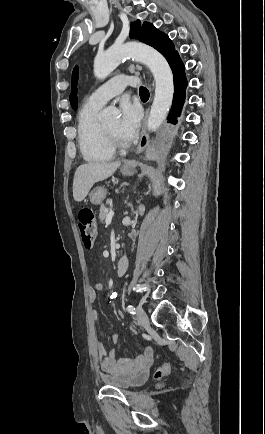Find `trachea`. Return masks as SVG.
I'll list each match as a JSON object with an SVG mask.
<instances>
[{"instance_id":"obj_1","label":"trachea","mask_w":265,"mask_h":434,"mask_svg":"<svg viewBox=\"0 0 265 434\" xmlns=\"http://www.w3.org/2000/svg\"><path fill=\"white\" fill-rule=\"evenodd\" d=\"M139 92L140 96H145L149 94V91L145 87H140Z\"/></svg>"}]
</instances>
